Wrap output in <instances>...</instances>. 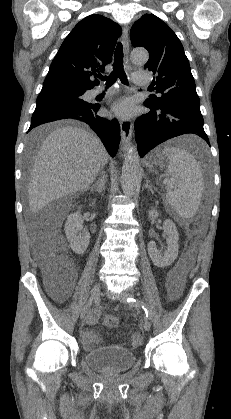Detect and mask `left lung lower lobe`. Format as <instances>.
<instances>
[{
    "label": "left lung lower lobe",
    "mask_w": 231,
    "mask_h": 419,
    "mask_svg": "<svg viewBox=\"0 0 231 419\" xmlns=\"http://www.w3.org/2000/svg\"><path fill=\"white\" fill-rule=\"evenodd\" d=\"M200 103L171 102L154 106L145 101L150 112L139 117L135 122V139L141 157L158 144L183 134H195L209 145V139L203 128Z\"/></svg>",
    "instance_id": "left-lung-lower-lobe-1"
}]
</instances>
